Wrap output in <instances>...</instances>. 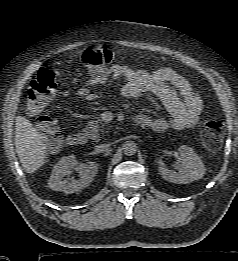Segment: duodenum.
<instances>
[{
    "label": "duodenum",
    "instance_id": "obj_1",
    "mask_svg": "<svg viewBox=\"0 0 238 261\" xmlns=\"http://www.w3.org/2000/svg\"><path fill=\"white\" fill-rule=\"evenodd\" d=\"M136 123L142 125L143 120L141 118H137ZM66 142L71 147H78L86 142V136L82 133L70 134L67 137Z\"/></svg>",
    "mask_w": 238,
    "mask_h": 261
}]
</instances>
